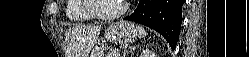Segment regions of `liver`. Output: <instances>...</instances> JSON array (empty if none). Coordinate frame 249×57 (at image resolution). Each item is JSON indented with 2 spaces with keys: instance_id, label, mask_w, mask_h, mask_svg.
Segmentation results:
<instances>
[{
  "instance_id": "6515ba94",
  "label": "liver",
  "mask_w": 249,
  "mask_h": 57,
  "mask_svg": "<svg viewBox=\"0 0 249 57\" xmlns=\"http://www.w3.org/2000/svg\"><path fill=\"white\" fill-rule=\"evenodd\" d=\"M100 27L84 26L74 27L66 34V39L70 43L69 49L73 51V57H88L91 49L94 47Z\"/></svg>"
}]
</instances>
